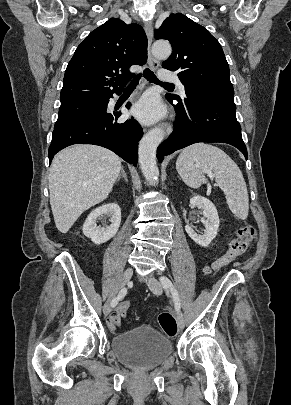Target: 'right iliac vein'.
Listing matches in <instances>:
<instances>
[{"label":"right iliac vein","instance_id":"right-iliac-vein-1","mask_svg":"<svg viewBox=\"0 0 291 405\" xmlns=\"http://www.w3.org/2000/svg\"><path fill=\"white\" fill-rule=\"evenodd\" d=\"M132 274H133V270L131 268H128L122 274L115 291L111 294V296L109 297V299L107 300V302L104 305L103 312H104L105 315H108L111 312L112 307H113L112 306V301L114 299L115 294L120 289H123L127 285V283L129 282Z\"/></svg>","mask_w":291,"mask_h":405}]
</instances>
